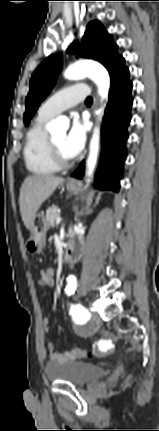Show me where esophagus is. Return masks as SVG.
Returning <instances> with one entry per match:
<instances>
[{
	"mask_svg": "<svg viewBox=\"0 0 159 431\" xmlns=\"http://www.w3.org/2000/svg\"><path fill=\"white\" fill-rule=\"evenodd\" d=\"M69 182H70V183H75V181H74V180H70Z\"/></svg>",
	"mask_w": 159,
	"mask_h": 431,
	"instance_id": "1",
	"label": "esophagus"
}]
</instances>
